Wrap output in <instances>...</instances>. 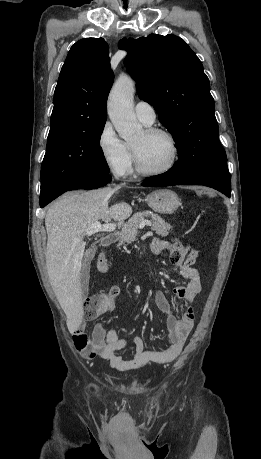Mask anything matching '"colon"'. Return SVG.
Instances as JSON below:
<instances>
[{"label": "colon", "mask_w": 261, "mask_h": 459, "mask_svg": "<svg viewBox=\"0 0 261 459\" xmlns=\"http://www.w3.org/2000/svg\"><path fill=\"white\" fill-rule=\"evenodd\" d=\"M199 197H214L215 189L214 188H199L198 189ZM97 267L99 271L105 272L107 270V259L105 256H99L97 260ZM109 300V295L107 292L94 294L86 299L85 302V311L84 316L88 320L96 318L103 307L107 304Z\"/></svg>", "instance_id": "1"}]
</instances>
